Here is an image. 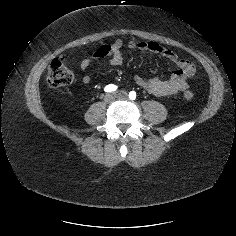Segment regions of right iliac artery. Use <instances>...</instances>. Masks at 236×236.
Listing matches in <instances>:
<instances>
[{
  "label": "right iliac artery",
  "instance_id": "82829eb1",
  "mask_svg": "<svg viewBox=\"0 0 236 236\" xmlns=\"http://www.w3.org/2000/svg\"><path fill=\"white\" fill-rule=\"evenodd\" d=\"M117 90V86L114 84H109L104 88L105 92H114Z\"/></svg>",
  "mask_w": 236,
  "mask_h": 236
}]
</instances>
